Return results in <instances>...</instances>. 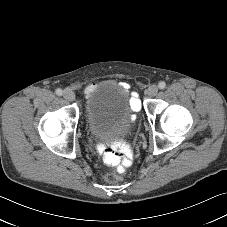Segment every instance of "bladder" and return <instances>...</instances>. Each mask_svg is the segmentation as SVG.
<instances>
[{"mask_svg":"<svg viewBox=\"0 0 227 227\" xmlns=\"http://www.w3.org/2000/svg\"><path fill=\"white\" fill-rule=\"evenodd\" d=\"M86 110L88 127L100 139L115 141L132 131L130 95L120 86L103 84L95 88L87 96Z\"/></svg>","mask_w":227,"mask_h":227,"instance_id":"1","label":"bladder"}]
</instances>
